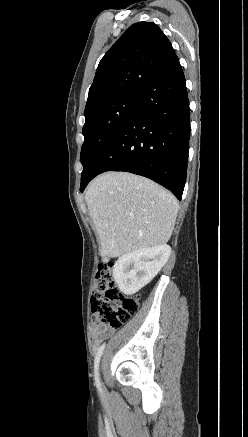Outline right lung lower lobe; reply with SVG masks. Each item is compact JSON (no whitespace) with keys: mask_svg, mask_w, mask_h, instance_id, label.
Instances as JSON below:
<instances>
[{"mask_svg":"<svg viewBox=\"0 0 248 437\" xmlns=\"http://www.w3.org/2000/svg\"><path fill=\"white\" fill-rule=\"evenodd\" d=\"M190 138L189 100L178 57L136 98L133 108L81 179L80 191L98 174L145 176L182 198Z\"/></svg>","mask_w":248,"mask_h":437,"instance_id":"1","label":"right lung lower lobe"}]
</instances>
